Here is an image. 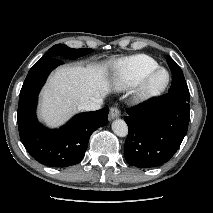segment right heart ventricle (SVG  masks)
<instances>
[{
	"label": "right heart ventricle",
	"mask_w": 213,
	"mask_h": 213,
	"mask_svg": "<svg viewBox=\"0 0 213 213\" xmlns=\"http://www.w3.org/2000/svg\"><path fill=\"white\" fill-rule=\"evenodd\" d=\"M158 67V62L148 55L126 57L114 62L111 81L116 89L124 90L137 85Z\"/></svg>",
	"instance_id": "e07e8e85"
}]
</instances>
